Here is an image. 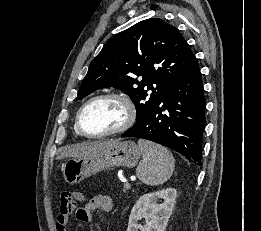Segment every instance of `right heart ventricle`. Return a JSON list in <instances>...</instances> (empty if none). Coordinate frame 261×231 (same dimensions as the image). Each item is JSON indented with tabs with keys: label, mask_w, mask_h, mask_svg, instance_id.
<instances>
[{
	"label": "right heart ventricle",
	"mask_w": 261,
	"mask_h": 231,
	"mask_svg": "<svg viewBox=\"0 0 261 231\" xmlns=\"http://www.w3.org/2000/svg\"><path fill=\"white\" fill-rule=\"evenodd\" d=\"M74 132L77 136H80V134L78 133V131L76 130V127L74 126Z\"/></svg>",
	"instance_id": "e07e8e85"
}]
</instances>
